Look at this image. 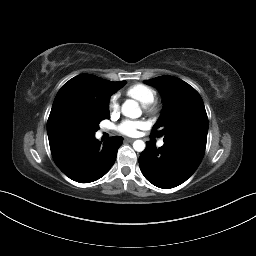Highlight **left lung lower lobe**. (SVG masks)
<instances>
[{"label":"left lung lower lobe","instance_id":"1","mask_svg":"<svg viewBox=\"0 0 256 256\" xmlns=\"http://www.w3.org/2000/svg\"><path fill=\"white\" fill-rule=\"evenodd\" d=\"M202 157L180 148L163 145L156 149L150 142L139 157L144 177L153 185L170 189L186 181L198 168Z\"/></svg>","mask_w":256,"mask_h":256}]
</instances>
